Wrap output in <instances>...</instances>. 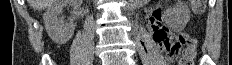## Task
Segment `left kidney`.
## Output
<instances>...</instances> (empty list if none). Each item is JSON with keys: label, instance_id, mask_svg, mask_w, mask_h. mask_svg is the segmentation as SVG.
I'll return each instance as SVG.
<instances>
[{"label": "left kidney", "instance_id": "1", "mask_svg": "<svg viewBox=\"0 0 232 65\" xmlns=\"http://www.w3.org/2000/svg\"><path fill=\"white\" fill-rule=\"evenodd\" d=\"M190 20V9L182 0H178L177 4L165 12L166 23L174 30H183Z\"/></svg>", "mask_w": 232, "mask_h": 65}]
</instances>
